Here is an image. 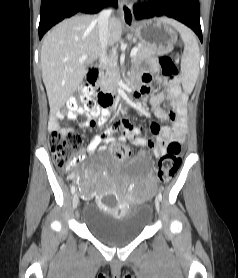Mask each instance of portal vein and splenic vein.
I'll list each match as a JSON object with an SVG mask.
<instances>
[{"label":"portal vein and splenic vein","mask_w":238,"mask_h":278,"mask_svg":"<svg viewBox=\"0 0 238 278\" xmlns=\"http://www.w3.org/2000/svg\"><path fill=\"white\" fill-rule=\"evenodd\" d=\"M138 52V48L137 47H134L132 50H131V53H130V57H134ZM88 55H83L79 58V61L80 62H84L86 59H87Z\"/></svg>","instance_id":"portal-vein-and-splenic-vein-1"}]
</instances>
